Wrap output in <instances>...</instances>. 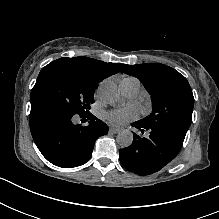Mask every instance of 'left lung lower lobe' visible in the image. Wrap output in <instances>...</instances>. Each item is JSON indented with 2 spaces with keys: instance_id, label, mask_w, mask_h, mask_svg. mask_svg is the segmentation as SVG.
I'll return each mask as SVG.
<instances>
[{
  "instance_id": "1",
  "label": "left lung lower lobe",
  "mask_w": 219,
  "mask_h": 219,
  "mask_svg": "<svg viewBox=\"0 0 219 219\" xmlns=\"http://www.w3.org/2000/svg\"><path fill=\"white\" fill-rule=\"evenodd\" d=\"M141 133L147 131L148 137L134 133L130 146L120 149L119 159L122 166L138 175H150L172 161L181 150L185 136L167 129H156L139 121L132 124Z\"/></svg>"
}]
</instances>
